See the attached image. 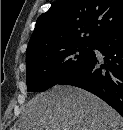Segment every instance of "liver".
Returning <instances> with one entry per match:
<instances>
[{"label": "liver", "instance_id": "6515ba94", "mask_svg": "<svg viewBox=\"0 0 123 130\" xmlns=\"http://www.w3.org/2000/svg\"><path fill=\"white\" fill-rule=\"evenodd\" d=\"M15 130H123V118L83 89L56 85L28 101Z\"/></svg>", "mask_w": 123, "mask_h": 130}]
</instances>
